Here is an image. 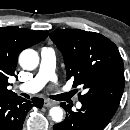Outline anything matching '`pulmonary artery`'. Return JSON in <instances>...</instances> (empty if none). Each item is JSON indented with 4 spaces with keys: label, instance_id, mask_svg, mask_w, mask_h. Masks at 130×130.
<instances>
[{
    "label": "pulmonary artery",
    "instance_id": "e3ab8cb5",
    "mask_svg": "<svg viewBox=\"0 0 130 130\" xmlns=\"http://www.w3.org/2000/svg\"><path fill=\"white\" fill-rule=\"evenodd\" d=\"M41 62L37 74L24 84L20 85V89L28 93H36L41 90L48 81H56L55 51L50 47L41 49ZM80 105V103H78Z\"/></svg>",
    "mask_w": 130,
    "mask_h": 130
}]
</instances>
